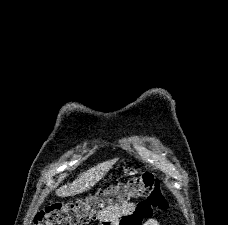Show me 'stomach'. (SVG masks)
<instances>
[{"instance_id":"1","label":"stomach","mask_w":228,"mask_h":225,"mask_svg":"<svg viewBox=\"0 0 228 225\" xmlns=\"http://www.w3.org/2000/svg\"><path fill=\"white\" fill-rule=\"evenodd\" d=\"M123 173L126 177H129V175H137L138 169H134V167H125Z\"/></svg>"}]
</instances>
